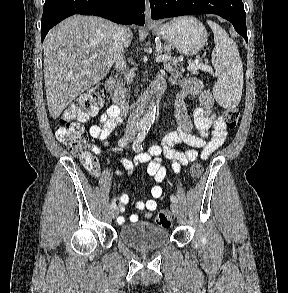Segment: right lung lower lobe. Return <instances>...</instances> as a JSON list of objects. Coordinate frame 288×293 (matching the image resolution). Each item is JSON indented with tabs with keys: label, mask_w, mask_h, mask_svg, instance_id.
<instances>
[{
	"label": "right lung lower lobe",
	"mask_w": 288,
	"mask_h": 293,
	"mask_svg": "<svg viewBox=\"0 0 288 293\" xmlns=\"http://www.w3.org/2000/svg\"><path fill=\"white\" fill-rule=\"evenodd\" d=\"M144 0H46L41 21V40L63 19L74 15H95L120 24L143 26Z\"/></svg>",
	"instance_id": "1"
}]
</instances>
